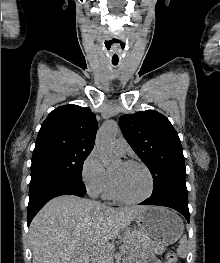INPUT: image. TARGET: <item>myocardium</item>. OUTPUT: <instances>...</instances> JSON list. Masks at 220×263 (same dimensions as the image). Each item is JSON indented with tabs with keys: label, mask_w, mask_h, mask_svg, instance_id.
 Here are the masks:
<instances>
[{
	"label": "myocardium",
	"mask_w": 220,
	"mask_h": 263,
	"mask_svg": "<svg viewBox=\"0 0 220 263\" xmlns=\"http://www.w3.org/2000/svg\"><path fill=\"white\" fill-rule=\"evenodd\" d=\"M123 163L125 165H138V166H141L146 171V173H147V175L149 177V190L144 196H142L140 198H136V199L126 198L119 192L118 187H117V183H116V180H115V177L111 173L110 174V182H111V189H112L113 196L117 200H119V201H121L123 203H126V204H138V203H142V202L146 201L153 194L154 185H155L154 176H153L150 168L145 163H143L141 161H138V160L129 159V160H124Z\"/></svg>",
	"instance_id": "myocardium-1"
}]
</instances>
